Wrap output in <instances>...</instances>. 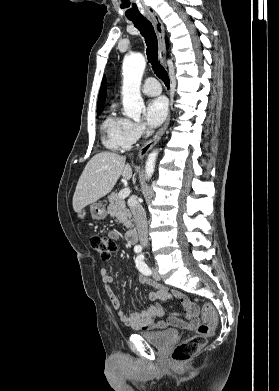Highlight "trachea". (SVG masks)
I'll list each match as a JSON object with an SVG mask.
<instances>
[{
  "label": "trachea",
  "instance_id": "trachea-1",
  "mask_svg": "<svg viewBox=\"0 0 279 391\" xmlns=\"http://www.w3.org/2000/svg\"><path fill=\"white\" fill-rule=\"evenodd\" d=\"M129 20L133 22L145 39L147 58L152 65L154 73L169 88L170 80L168 73L158 60V41L152 23L146 18H129Z\"/></svg>",
  "mask_w": 279,
  "mask_h": 391
}]
</instances>
